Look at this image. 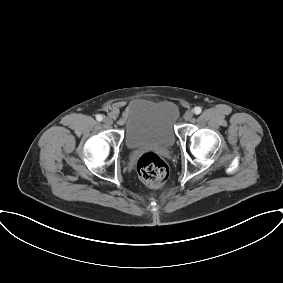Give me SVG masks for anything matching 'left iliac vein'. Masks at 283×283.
Masks as SVG:
<instances>
[{
    "label": "left iliac vein",
    "instance_id": "4c4485c4",
    "mask_svg": "<svg viewBox=\"0 0 283 283\" xmlns=\"http://www.w3.org/2000/svg\"><path fill=\"white\" fill-rule=\"evenodd\" d=\"M193 115H194V114H193V111L188 110V111L184 114V119H185L186 121H189V120L192 119Z\"/></svg>",
    "mask_w": 283,
    "mask_h": 283
}]
</instances>
